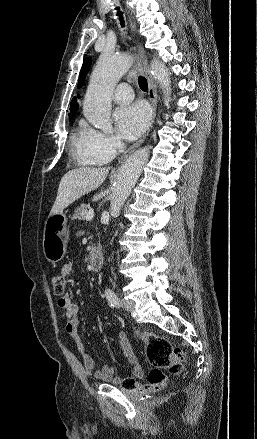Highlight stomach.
<instances>
[{"mask_svg":"<svg viewBox=\"0 0 257 439\" xmlns=\"http://www.w3.org/2000/svg\"><path fill=\"white\" fill-rule=\"evenodd\" d=\"M69 225L65 213L50 215L44 226L43 252L51 263L60 261L67 250Z\"/></svg>","mask_w":257,"mask_h":439,"instance_id":"stomach-1","label":"stomach"}]
</instances>
